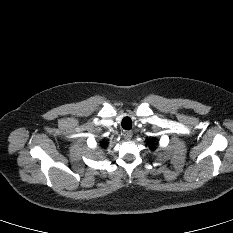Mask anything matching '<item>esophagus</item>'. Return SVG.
Instances as JSON below:
<instances>
[{"label":"esophagus","instance_id":"34e87169","mask_svg":"<svg viewBox=\"0 0 233 233\" xmlns=\"http://www.w3.org/2000/svg\"><path fill=\"white\" fill-rule=\"evenodd\" d=\"M123 136H124L125 140H130L132 138V136H133V132L130 131V130L129 131H124Z\"/></svg>","mask_w":233,"mask_h":233}]
</instances>
